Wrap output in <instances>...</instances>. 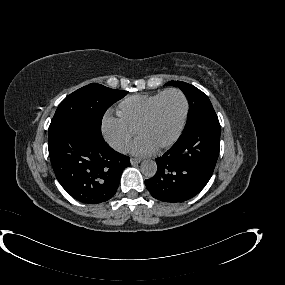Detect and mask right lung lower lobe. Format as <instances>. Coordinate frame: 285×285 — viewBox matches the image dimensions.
Segmentation results:
<instances>
[{"mask_svg":"<svg viewBox=\"0 0 285 285\" xmlns=\"http://www.w3.org/2000/svg\"><path fill=\"white\" fill-rule=\"evenodd\" d=\"M51 164L62 187L77 201L98 204L116 193L130 158L117 153L100 132L65 128L48 140Z\"/></svg>","mask_w":285,"mask_h":285,"instance_id":"1","label":"right lung lower lobe"}]
</instances>
